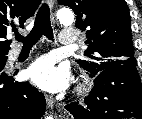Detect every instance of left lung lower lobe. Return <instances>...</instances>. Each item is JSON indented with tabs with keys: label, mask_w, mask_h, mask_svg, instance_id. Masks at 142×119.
Listing matches in <instances>:
<instances>
[{
	"label": "left lung lower lobe",
	"mask_w": 142,
	"mask_h": 119,
	"mask_svg": "<svg viewBox=\"0 0 142 119\" xmlns=\"http://www.w3.org/2000/svg\"><path fill=\"white\" fill-rule=\"evenodd\" d=\"M90 76L96 78L85 98L87 106H66L74 119H142V86L136 65L124 64Z\"/></svg>",
	"instance_id": "left-lung-lower-lobe-1"
}]
</instances>
